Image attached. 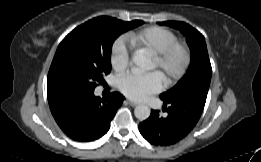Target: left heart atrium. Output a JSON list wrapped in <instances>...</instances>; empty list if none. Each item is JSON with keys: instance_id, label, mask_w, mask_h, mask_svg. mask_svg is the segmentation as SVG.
Masks as SVG:
<instances>
[{"instance_id": "1", "label": "left heart atrium", "mask_w": 261, "mask_h": 162, "mask_svg": "<svg viewBox=\"0 0 261 162\" xmlns=\"http://www.w3.org/2000/svg\"><path fill=\"white\" fill-rule=\"evenodd\" d=\"M163 84L164 77L157 71L147 74L129 72L117 80L119 90L128 98L137 101L158 93L163 88Z\"/></svg>"}]
</instances>
